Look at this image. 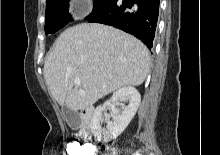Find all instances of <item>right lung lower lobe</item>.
I'll return each instance as SVG.
<instances>
[{
	"mask_svg": "<svg viewBox=\"0 0 220 155\" xmlns=\"http://www.w3.org/2000/svg\"><path fill=\"white\" fill-rule=\"evenodd\" d=\"M160 0H113L99 13L88 17L89 22L103 23L128 32L149 49L157 26Z\"/></svg>",
	"mask_w": 220,
	"mask_h": 155,
	"instance_id": "right-lung-lower-lobe-1",
	"label": "right lung lower lobe"
}]
</instances>
